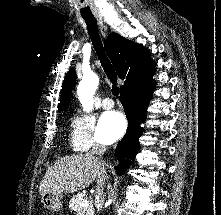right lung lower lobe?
I'll use <instances>...</instances> for the list:
<instances>
[{
	"mask_svg": "<svg viewBox=\"0 0 221 215\" xmlns=\"http://www.w3.org/2000/svg\"><path fill=\"white\" fill-rule=\"evenodd\" d=\"M154 73L135 86L121 91L120 101L128 119V129L116 148L120 163L115 169L119 175L127 170L139 150V137L143 131L140 124L144 122L147 105L155 88V81L152 78Z\"/></svg>",
	"mask_w": 221,
	"mask_h": 215,
	"instance_id": "98d812e1",
	"label": "right lung lower lobe"
}]
</instances>
